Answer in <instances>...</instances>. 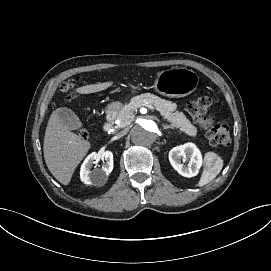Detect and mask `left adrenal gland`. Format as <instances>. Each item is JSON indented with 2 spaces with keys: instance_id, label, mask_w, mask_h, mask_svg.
Instances as JSON below:
<instances>
[{
  "instance_id": "1",
  "label": "left adrenal gland",
  "mask_w": 271,
  "mask_h": 271,
  "mask_svg": "<svg viewBox=\"0 0 271 271\" xmlns=\"http://www.w3.org/2000/svg\"><path fill=\"white\" fill-rule=\"evenodd\" d=\"M166 129H174L173 126H170V125H163V130H166Z\"/></svg>"
}]
</instances>
